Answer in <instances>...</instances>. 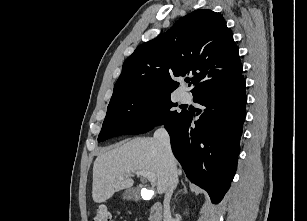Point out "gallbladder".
Segmentation results:
<instances>
[{"label": "gallbladder", "mask_w": 307, "mask_h": 221, "mask_svg": "<svg viewBox=\"0 0 307 221\" xmlns=\"http://www.w3.org/2000/svg\"><path fill=\"white\" fill-rule=\"evenodd\" d=\"M123 198L127 200H138L140 198L139 196V190L137 188H130L127 189L123 193Z\"/></svg>", "instance_id": "gallbladder-1"}]
</instances>
